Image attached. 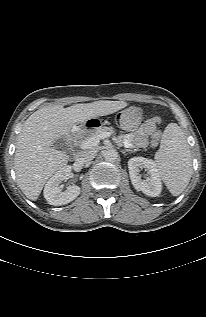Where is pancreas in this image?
<instances>
[{"instance_id": "pancreas-1", "label": "pancreas", "mask_w": 206, "mask_h": 317, "mask_svg": "<svg viewBox=\"0 0 206 317\" xmlns=\"http://www.w3.org/2000/svg\"><path fill=\"white\" fill-rule=\"evenodd\" d=\"M115 128L110 126H100L97 129L93 128L91 130L87 131H82L81 132V138L79 141H76V145H81L83 142H85L86 140H88L89 138L92 139V137L94 138V140H100L101 139V135H112L115 134Z\"/></svg>"}]
</instances>
